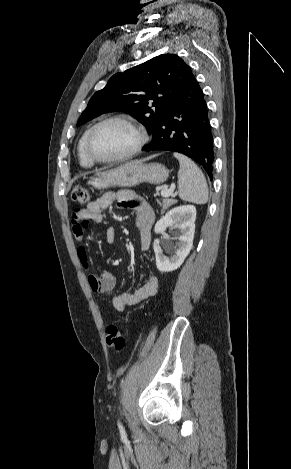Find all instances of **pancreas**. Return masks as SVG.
<instances>
[{
	"label": "pancreas",
	"instance_id": "pancreas-1",
	"mask_svg": "<svg viewBox=\"0 0 291 469\" xmlns=\"http://www.w3.org/2000/svg\"><path fill=\"white\" fill-rule=\"evenodd\" d=\"M177 201L174 200V199H168V198H164L162 200V203L161 202H158V204L162 207V210L161 212H165V210H167L170 206H172L173 204H175Z\"/></svg>",
	"mask_w": 291,
	"mask_h": 469
}]
</instances>
